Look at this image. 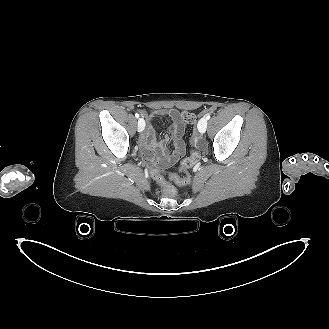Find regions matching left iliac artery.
Listing matches in <instances>:
<instances>
[{"label": "left iliac artery", "instance_id": "1", "mask_svg": "<svg viewBox=\"0 0 329 329\" xmlns=\"http://www.w3.org/2000/svg\"><path fill=\"white\" fill-rule=\"evenodd\" d=\"M211 118V115L210 114H207L206 115V119L209 120Z\"/></svg>", "mask_w": 329, "mask_h": 329}]
</instances>
